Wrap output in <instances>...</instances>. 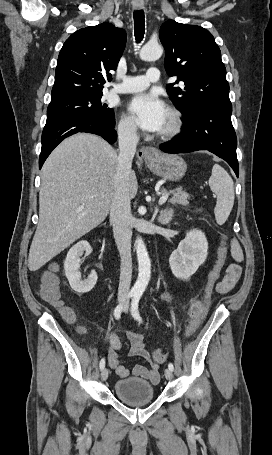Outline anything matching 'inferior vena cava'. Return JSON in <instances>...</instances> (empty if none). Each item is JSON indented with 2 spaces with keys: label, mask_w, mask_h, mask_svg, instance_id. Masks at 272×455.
Listing matches in <instances>:
<instances>
[{
  "label": "inferior vena cava",
  "mask_w": 272,
  "mask_h": 455,
  "mask_svg": "<svg viewBox=\"0 0 272 455\" xmlns=\"http://www.w3.org/2000/svg\"><path fill=\"white\" fill-rule=\"evenodd\" d=\"M135 125L122 127L118 131L119 155L116 174L114 176V195L110 206V222L117 248L121 257V270L118 295L126 297L132 279L131 257V207L128 193V177L131 172L132 160L136 152L138 136Z\"/></svg>",
  "instance_id": "obj_1"
}]
</instances>
